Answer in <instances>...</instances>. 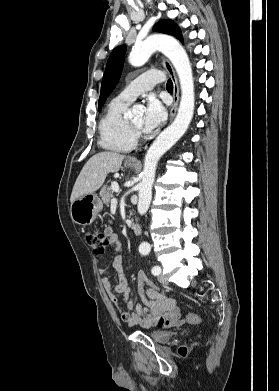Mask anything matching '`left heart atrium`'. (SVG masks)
I'll list each match as a JSON object with an SVG mask.
<instances>
[{
	"instance_id": "39dd6f15",
	"label": "left heart atrium",
	"mask_w": 279,
	"mask_h": 391,
	"mask_svg": "<svg viewBox=\"0 0 279 391\" xmlns=\"http://www.w3.org/2000/svg\"><path fill=\"white\" fill-rule=\"evenodd\" d=\"M166 118V109L162 103L154 96L148 98L144 116L143 128L150 132L162 124Z\"/></svg>"
}]
</instances>
